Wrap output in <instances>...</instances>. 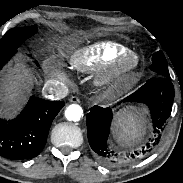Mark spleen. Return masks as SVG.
<instances>
[{
    "instance_id": "obj_1",
    "label": "spleen",
    "mask_w": 183,
    "mask_h": 183,
    "mask_svg": "<svg viewBox=\"0 0 183 183\" xmlns=\"http://www.w3.org/2000/svg\"><path fill=\"white\" fill-rule=\"evenodd\" d=\"M145 118L136 109H124L118 112L114 120L113 135L117 142L132 145L145 134Z\"/></svg>"
}]
</instances>
